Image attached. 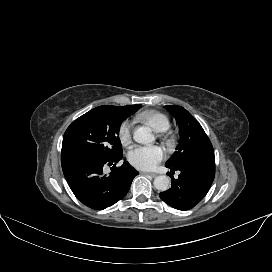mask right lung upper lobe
I'll return each instance as SVG.
<instances>
[{
    "mask_svg": "<svg viewBox=\"0 0 272 272\" xmlns=\"http://www.w3.org/2000/svg\"><path fill=\"white\" fill-rule=\"evenodd\" d=\"M137 105H128V106H124V107H127V108H133V107H136Z\"/></svg>",
    "mask_w": 272,
    "mask_h": 272,
    "instance_id": "obj_1",
    "label": "right lung upper lobe"
}]
</instances>
